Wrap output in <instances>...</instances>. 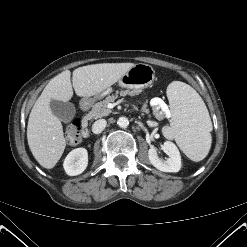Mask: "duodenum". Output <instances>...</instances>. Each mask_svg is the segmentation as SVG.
Masks as SVG:
<instances>
[{
	"instance_id": "duodenum-1",
	"label": "duodenum",
	"mask_w": 247,
	"mask_h": 247,
	"mask_svg": "<svg viewBox=\"0 0 247 247\" xmlns=\"http://www.w3.org/2000/svg\"><path fill=\"white\" fill-rule=\"evenodd\" d=\"M82 107H83V109H87L88 108V102H83ZM81 135L84 138H87L89 136L88 122L86 120H83L81 123Z\"/></svg>"
}]
</instances>
